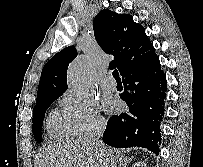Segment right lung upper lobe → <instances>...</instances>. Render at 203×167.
Listing matches in <instances>:
<instances>
[{
  "label": "right lung upper lobe",
  "mask_w": 203,
  "mask_h": 167,
  "mask_svg": "<svg viewBox=\"0 0 203 167\" xmlns=\"http://www.w3.org/2000/svg\"><path fill=\"white\" fill-rule=\"evenodd\" d=\"M94 35L107 53L114 55L110 68H118L121 76L137 70L154 60L157 55L142 25L135 23L129 14L101 10L94 18ZM77 56L69 46L53 56L44 66L39 81L36 104L59 97L67 90V68Z\"/></svg>",
  "instance_id": "right-lung-upper-lobe-1"
}]
</instances>
